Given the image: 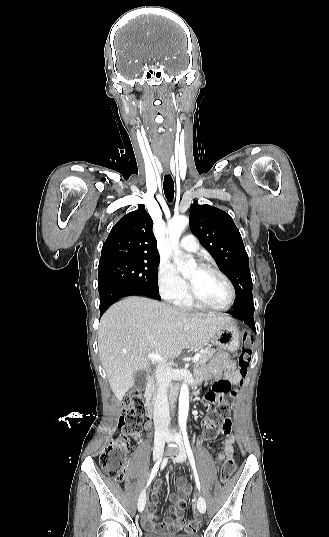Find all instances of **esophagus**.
Returning a JSON list of instances; mask_svg holds the SVG:
<instances>
[{
	"instance_id": "obj_1",
	"label": "esophagus",
	"mask_w": 329,
	"mask_h": 537,
	"mask_svg": "<svg viewBox=\"0 0 329 537\" xmlns=\"http://www.w3.org/2000/svg\"><path fill=\"white\" fill-rule=\"evenodd\" d=\"M165 172L169 173V168L168 167H165Z\"/></svg>"
}]
</instances>
